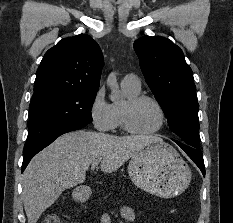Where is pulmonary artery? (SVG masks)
Returning a JSON list of instances; mask_svg holds the SVG:
<instances>
[{"mask_svg": "<svg viewBox=\"0 0 233 223\" xmlns=\"http://www.w3.org/2000/svg\"><path fill=\"white\" fill-rule=\"evenodd\" d=\"M121 85L123 87H134V88H140L141 82L139 77L136 74H127L121 81Z\"/></svg>", "mask_w": 233, "mask_h": 223, "instance_id": "pulmonary-artery-1", "label": "pulmonary artery"}]
</instances>
